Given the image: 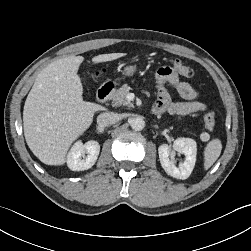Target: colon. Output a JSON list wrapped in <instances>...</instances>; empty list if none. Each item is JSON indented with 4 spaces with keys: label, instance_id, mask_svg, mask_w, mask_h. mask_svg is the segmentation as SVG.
Returning a JSON list of instances; mask_svg holds the SVG:
<instances>
[{
    "label": "colon",
    "instance_id": "5ec220e1",
    "mask_svg": "<svg viewBox=\"0 0 251 251\" xmlns=\"http://www.w3.org/2000/svg\"><path fill=\"white\" fill-rule=\"evenodd\" d=\"M171 66L174 71L184 77H191L193 69L182 62L180 59H171ZM204 122L207 130L213 131L216 125L215 115L212 111H208L204 116Z\"/></svg>",
    "mask_w": 251,
    "mask_h": 251
}]
</instances>
